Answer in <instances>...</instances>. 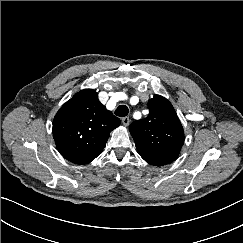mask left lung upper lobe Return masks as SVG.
<instances>
[{
  "label": "left lung upper lobe",
  "instance_id": "left-lung-upper-lobe-1",
  "mask_svg": "<svg viewBox=\"0 0 243 243\" xmlns=\"http://www.w3.org/2000/svg\"><path fill=\"white\" fill-rule=\"evenodd\" d=\"M149 115L130 125L137 152L149 164L174 161L184 143V131L171 103L160 95L148 101Z\"/></svg>",
  "mask_w": 243,
  "mask_h": 243
}]
</instances>
